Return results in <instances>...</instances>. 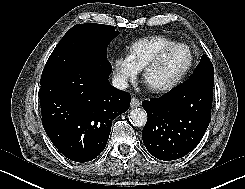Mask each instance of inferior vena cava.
Masks as SVG:
<instances>
[{"instance_id":"1","label":"inferior vena cava","mask_w":245,"mask_h":189,"mask_svg":"<svg viewBox=\"0 0 245 189\" xmlns=\"http://www.w3.org/2000/svg\"><path fill=\"white\" fill-rule=\"evenodd\" d=\"M112 85L115 88L120 89V90L128 88L127 81L121 76H114V78L112 80Z\"/></svg>"}]
</instances>
